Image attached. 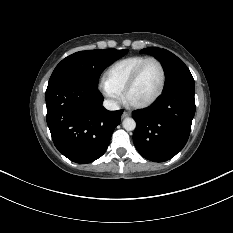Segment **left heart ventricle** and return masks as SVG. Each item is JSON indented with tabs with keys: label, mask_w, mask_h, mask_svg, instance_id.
Returning <instances> with one entry per match:
<instances>
[{
	"label": "left heart ventricle",
	"mask_w": 233,
	"mask_h": 233,
	"mask_svg": "<svg viewBox=\"0 0 233 233\" xmlns=\"http://www.w3.org/2000/svg\"><path fill=\"white\" fill-rule=\"evenodd\" d=\"M161 85V70L158 64L149 63L131 89L128 99L131 103H143L151 99Z\"/></svg>",
	"instance_id": "1"
}]
</instances>
